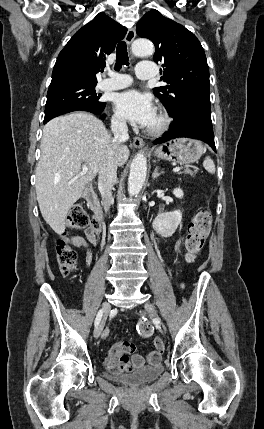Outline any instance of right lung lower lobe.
<instances>
[{"mask_svg":"<svg viewBox=\"0 0 264 429\" xmlns=\"http://www.w3.org/2000/svg\"><path fill=\"white\" fill-rule=\"evenodd\" d=\"M73 112H85V113H89V114H92L94 116H97V117H99L101 119L105 117V114H104L103 111L102 112H94V111H88V110H77V111H73ZM47 122L44 121V124L47 123Z\"/></svg>","mask_w":264,"mask_h":429,"instance_id":"obj_1","label":"right lung lower lobe"}]
</instances>
